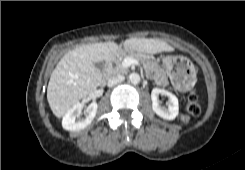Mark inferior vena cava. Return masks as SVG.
Wrapping results in <instances>:
<instances>
[{"label": "inferior vena cava", "instance_id": "obj_1", "mask_svg": "<svg viewBox=\"0 0 245 170\" xmlns=\"http://www.w3.org/2000/svg\"><path fill=\"white\" fill-rule=\"evenodd\" d=\"M124 79H125V78H124V76H122V75L112 76V77H110V78L108 79L107 85H108V87H113V86H115V85H117V84L123 82Z\"/></svg>", "mask_w": 245, "mask_h": 170}]
</instances>
